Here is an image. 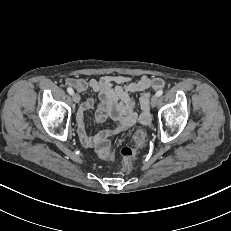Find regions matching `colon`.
I'll list each match as a JSON object with an SVG mask.
<instances>
[{
	"label": "colon",
	"mask_w": 231,
	"mask_h": 231,
	"mask_svg": "<svg viewBox=\"0 0 231 231\" xmlns=\"http://www.w3.org/2000/svg\"><path fill=\"white\" fill-rule=\"evenodd\" d=\"M147 134L142 127H138L132 136V147H124L121 149L122 156V171L130 172L133 168V163L140 149L146 142ZM98 155L105 160L112 158L113 152L108 140L103 139L96 145Z\"/></svg>",
	"instance_id": "obj_1"
}]
</instances>
